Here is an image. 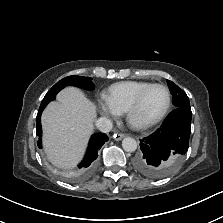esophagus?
<instances>
[{
    "instance_id": "obj_1",
    "label": "esophagus",
    "mask_w": 223,
    "mask_h": 223,
    "mask_svg": "<svg viewBox=\"0 0 223 223\" xmlns=\"http://www.w3.org/2000/svg\"><path fill=\"white\" fill-rule=\"evenodd\" d=\"M113 137H114V139H115L116 141H120V140H122V139L125 137V135L122 134V133H115V134L113 135Z\"/></svg>"
}]
</instances>
